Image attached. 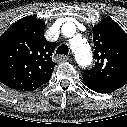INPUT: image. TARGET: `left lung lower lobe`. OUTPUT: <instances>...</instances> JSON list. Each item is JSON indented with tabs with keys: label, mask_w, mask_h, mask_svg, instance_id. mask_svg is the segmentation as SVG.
<instances>
[{
	"label": "left lung lower lobe",
	"mask_w": 127,
	"mask_h": 127,
	"mask_svg": "<svg viewBox=\"0 0 127 127\" xmlns=\"http://www.w3.org/2000/svg\"><path fill=\"white\" fill-rule=\"evenodd\" d=\"M85 83L91 90L98 93H111L118 89L116 86L102 81H85Z\"/></svg>",
	"instance_id": "left-lung-lower-lobe-1"
}]
</instances>
